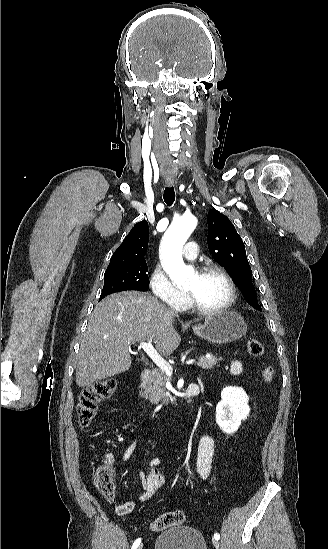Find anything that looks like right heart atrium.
Here are the masks:
<instances>
[{"label": "right heart atrium", "instance_id": "d8ad5b80", "mask_svg": "<svg viewBox=\"0 0 328 549\" xmlns=\"http://www.w3.org/2000/svg\"><path fill=\"white\" fill-rule=\"evenodd\" d=\"M148 286L155 303H178L184 294L173 284L163 266L154 262L150 267Z\"/></svg>", "mask_w": 328, "mask_h": 549}]
</instances>
